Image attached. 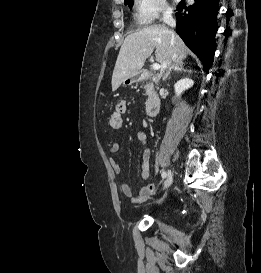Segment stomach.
<instances>
[{
  "label": "stomach",
  "instance_id": "obj_1",
  "mask_svg": "<svg viewBox=\"0 0 261 273\" xmlns=\"http://www.w3.org/2000/svg\"><path fill=\"white\" fill-rule=\"evenodd\" d=\"M141 80V76L140 74L132 77V78H128L126 80L123 81V84H131V83H134V82H138Z\"/></svg>",
  "mask_w": 261,
  "mask_h": 273
}]
</instances>
